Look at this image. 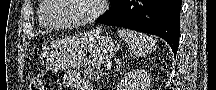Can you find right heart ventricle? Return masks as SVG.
Listing matches in <instances>:
<instances>
[{
	"mask_svg": "<svg viewBox=\"0 0 216 90\" xmlns=\"http://www.w3.org/2000/svg\"><path fill=\"white\" fill-rule=\"evenodd\" d=\"M53 4L54 2H40V14H50V7H53ZM39 25L42 29H52L42 17L39 18Z\"/></svg>",
	"mask_w": 216,
	"mask_h": 90,
	"instance_id": "right-heart-ventricle-1",
	"label": "right heart ventricle"
}]
</instances>
